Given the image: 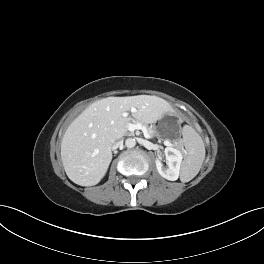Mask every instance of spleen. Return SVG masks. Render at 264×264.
<instances>
[{
	"label": "spleen",
	"instance_id": "1",
	"mask_svg": "<svg viewBox=\"0 0 264 264\" xmlns=\"http://www.w3.org/2000/svg\"><path fill=\"white\" fill-rule=\"evenodd\" d=\"M182 136L187 155L181 166L180 178L182 182H189L201 169L205 159V146L201 136L189 125L183 126Z\"/></svg>",
	"mask_w": 264,
	"mask_h": 264
}]
</instances>
